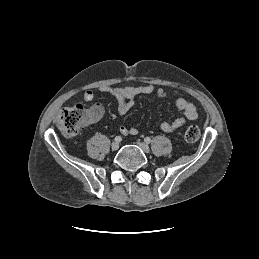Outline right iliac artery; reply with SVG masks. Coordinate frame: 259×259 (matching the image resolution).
Returning <instances> with one entry per match:
<instances>
[{
  "label": "right iliac artery",
  "instance_id": "1",
  "mask_svg": "<svg viewBox=\"0 0 259 259\" xmlns=\"http://www.w3.org/2000/svg\"><path fill=\"white\" fill-rule=\"evenodd\" d=\"M115 141L118 142V143L121 142L122 141V137L121 136H116L115 137Z\"/></svg>",
  "mask_w": 259,
  "mask_h": 259
}]
</instances>
